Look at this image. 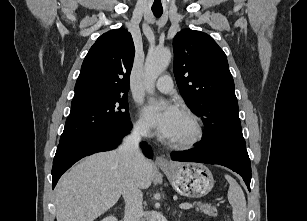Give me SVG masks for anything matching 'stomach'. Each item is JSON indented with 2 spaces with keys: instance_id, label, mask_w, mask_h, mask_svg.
Masks as SVG:
<instances>
[{
  "instance_id": "0dacf381",
  "label": "stomach",
  "mask_w": 307,
  "mask_h": 221,
  "mask_svg": "<svg viewBox=\"0 0 307 221\" xmlns=\"http://www.w3.org/2000/svg\"><path fill=\"white\" fill-rule=\"evenodd\" d=\"M173 188L187 197H202L214 186L211 171L200 163H173L162 168Z\"/></svg>"
}]
</instances>
